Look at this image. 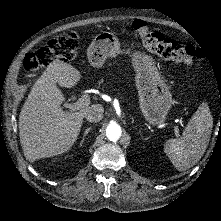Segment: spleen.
I'll return each mask as SVG.
<instances>
[{
    "mask_svg": "<svg viewBox=\"0 0 221 221\" xmlns=\"http://www.w3.org/2000/svg\"><path fill=\"white\" fill-rule=\"evenodd\" d=\"M213 128V117L208 103L203 102L194 112L183 134L170 139L165 151L179 171H189L207 149Z\"/></svg>",
    "mask_w": 221,
    "mask_h": 221,
    "instance_id": "3e777b00",
    "label": "spleen"
}]
</instances>
